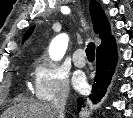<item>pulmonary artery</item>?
I'll return each mask as SVG.
<instances>
[{
  "instance_id": "pulmonary-artery-1",
  "label": "pulmonary artery",
  "mask_w": 133,
  "mask_h": 118,
  "mask_svg": "<svg viewBox=\"0 0 133 118\" xmlns=\"http://www.w3.org/2000/svg\"><path fill=\"white\" fill-rule=\"evenodd\" d=\"M73 62L77 67H84L86 64L85 51L77 49L73 54Z\"/></svg>"
}]
</instances>
